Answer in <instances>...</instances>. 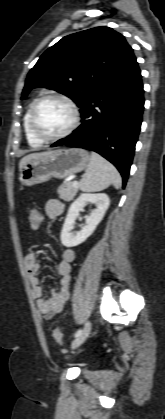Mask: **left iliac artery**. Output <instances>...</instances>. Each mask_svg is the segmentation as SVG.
<instances>
[{"instance_id":"1","label":"left iliac artery","mask_w":165,"mask_h":419,"mask_svg":"<svg viewBox=\"0 0 165 419\" xmlns=\"http://www.w3.org/2000/svg\"><path fill=\"white\" fill-rule=\"evenodd\" d=\"M81 332H82V329L77 330V331L75 332L74 336H75V337L79 336V335L81 334Z\"/></svg>"}]
</instances>
